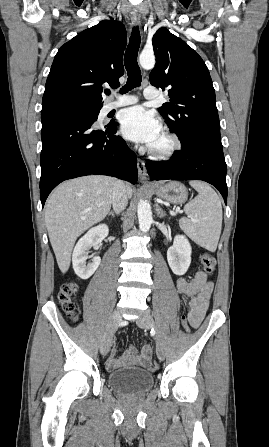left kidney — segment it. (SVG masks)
Listing matches in <instances>:
<instances>
[{"label":"left kidney","mask_w":269,"mask_h":447,"mask_svg":"<svg viewBox=\"0 0 269 447\" xmlns=\"http://www.w3.org/2000/svg\"><path fill=\"white\" fill-rule=\"evenodd\" d=\"M192 247L185 235H175L173 245L168 247V263L176 275H184L191 263Z\"/></svg>","instance_id":"5707ae66"}]
</instances>
